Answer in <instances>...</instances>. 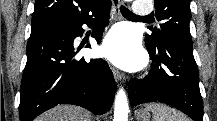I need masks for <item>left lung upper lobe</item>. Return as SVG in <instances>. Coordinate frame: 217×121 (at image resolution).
<instances>
[{"label": "left lung upper lobe", "mask_w": 217, "mask_h": 121, "mask_svg": "<svg viewBox=\"0 0 217 121\" xmlns=\"http://www.w3.org/2000/svg\"><path fill=\"white\" fill-rule=\"evenodd\" d=\"M155 16L160 25L146 34L145 42L153 47L168 39L177 40L192 47L189 29L191 17L190 0H154Z\"/></svg>", "instance_id": "left-lung-upper-lobe-1"}]
</instances>
